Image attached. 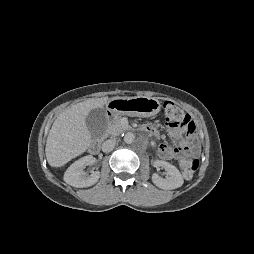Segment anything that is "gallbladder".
<instances>
[{
  "mask_svg": "<svg viewBox=\"0 0 254 254\" xmlns=\"http://www.w3.org/2000/svg\"><path fill=\"white\" fill-rule=\"evenodd\" d=\"M108 123L107 113L104 108L92 109L86 116V126L94 138H102Z\"/></svg>",
  "mask_w": 254,
  "mask_h": 254,
  "instance_id": "bac80fb5",
  "label": "gallbladder"
}]
</instances>
